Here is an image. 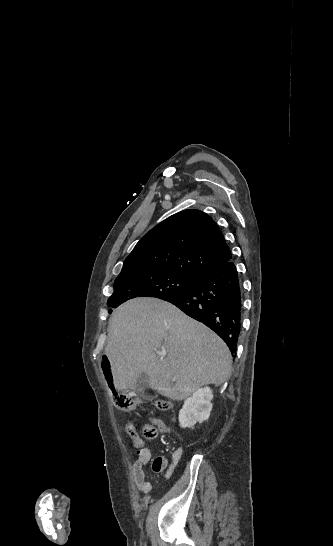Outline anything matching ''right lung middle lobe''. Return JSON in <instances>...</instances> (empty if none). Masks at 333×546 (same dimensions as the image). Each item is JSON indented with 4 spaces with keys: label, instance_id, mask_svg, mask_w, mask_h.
I'll return each mask as SVG.
<instances>
[{
    "label": "right lung middle lobe",
    "instance_id": "dd1d6c3e",
    "mask_svg": "<svg viewBox=\"0 0 333 546\" xmlns=\"http://www.w3.org/2000/svg\"><path fill=\"white\" fill-rule=\"evenodd\" d=\"M199 279L173 272H121L114 282V293L107 304L116 308L129 299L144 296L164 300L189 291Z\"/></svg>",
    "mask_w": 333,
    "mask_h": 546
}]
</instances>
